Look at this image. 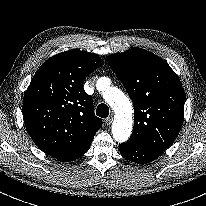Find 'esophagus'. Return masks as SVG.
<instances>
[{
    "mask_svg": "<svg viewBox=\"0 0 206 206\" xmlns=\"http://www.w3.org/2000/svg\"><path fill=\"white\" fill-rule=\"evenodd\" d=\"M105 124L106 125H111L112 122H113V117H107L105 120H104Z\"/></svg>",
    "mask_w": 206,
    "mask_h": 206,
    "instance_id": "obj_1",
    "label": "esophagus"
}]
</instances>
